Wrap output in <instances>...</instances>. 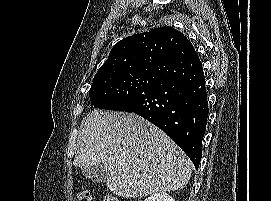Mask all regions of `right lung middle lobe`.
Returning <instances> with one entry per match:
<instances>
[{"mask_svg":"<svg viewBox=\"0 0 271 201\" xmlns=\"http://www.w3.org/2000/svg\"><path fill=\"white\" fill-rule=\"evenodd\" d=\"M152 80V71H128L94 78L89 97L97 108L118 111L123 103L145 92Z\"/></svg>","mask_w":271,"mask_h":201,"instance_id":"right-lung-middle-lobe-1","label":"right lung middle lobe"}]
</instances>
